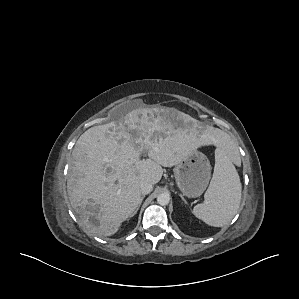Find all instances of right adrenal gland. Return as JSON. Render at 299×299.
Segmentation results:
<instances>
[{"label": "right adrenal gland", "mask_w": 299, "mask_h": 299, "mask_svg": "<svg viewBox=\"0 0 299 299\" xmlns=\"http://www.w3.org/2000/svg\"><path fill=\"white\" fill-rule=\"evenodd\" d=\"M144 198H145V195H143V196L141 197V199H140V203H139L138 207L136 208V210L134 211V213L132 214V216H134V215L137 213V211H138V209H139V207H140L142 201L144 200Z\"/></svg>", "instance_id": "1"}]
</instances>
